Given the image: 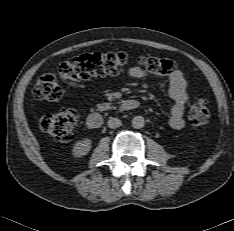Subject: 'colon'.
Instances as JSON below:
<instances>
[{
	"instance_id": "1",
	"label": "colon",
	"mask_w": 234,
	"mask_h": 231,
	"mask_svg": "<svg viewBox=\"0 0 234 231\" xmlns=\"http://www.w3.org/2000/svg\"><path fill=\"white\" fill-rule=\"evenodd\" d=\"M130 59L124 52L84 53L64 61L58 72L41 75L34 86L33 94L37 99L57 101L62 96L61 82L77 83L93 77L116 75L121 73ZM137 67L159 77L172 75L176 65L171 60L140 56L135 60ZM189 122L194 126H204L210 120L207 102L196 99L189 111ZM78 121V114L73 109H65L58 113L46 114L41 118V129L59 142H67L72 138Z\"/></svg>"
}]
</instances>
